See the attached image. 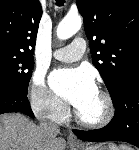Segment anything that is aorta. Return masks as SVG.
Here are the masks:
<instances>
[{
  "instance_id": "1",
  "label": "aorta",
  "mask_w": 139,
  "mask_h": 150,
  "mask_svg": "<svg viewBox=\"0 0 139 150\" xmlns=\"http://www.w3.org/2000/svg\"><path fill=\"white\" fill-rule=\"evenodd\" d=\"M82 25L79 15H67L57 27V36L61 40H66L73 36Z\"/></svg>"
}]
</instances>
